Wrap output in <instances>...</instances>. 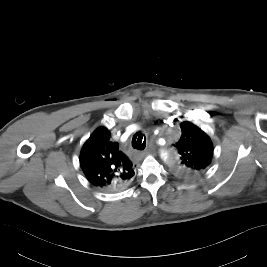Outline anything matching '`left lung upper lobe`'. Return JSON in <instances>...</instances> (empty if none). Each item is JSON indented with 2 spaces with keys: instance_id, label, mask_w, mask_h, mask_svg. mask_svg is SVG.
Masks as SVG:
<instances>
[{
  "instance_id": "left-lung-upper-lobe-1",
  "label": "left lung upper lobe",
  "mask_w": 267,
  "mask_h": 267,
  "mask_svg": "<svg viewBox=\"0 0 267 267\" xmlns=\"http://www.w3.org/2000/svg\"><path fill=\"white\" fill-rule=\"evenodd\" d=\"M182 135L176 143L181 163L178 173L182 176H197L206 172L213 156V145L208 135L191 122L180 124Z\"/></svg>"
}]
</instances>
